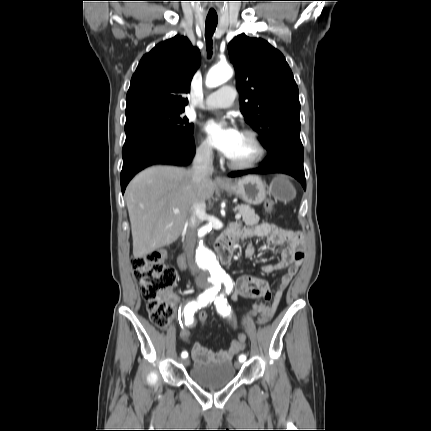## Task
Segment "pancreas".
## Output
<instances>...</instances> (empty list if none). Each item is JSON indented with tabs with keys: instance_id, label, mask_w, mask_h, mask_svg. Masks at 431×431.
<instances>
[{
	"instance_id": "1",
	"label": "pancreas",
	"mask_w": 431,
	"mask_h": 431,
	"mask_svg": "<svg viewBox=\"0 0 431 431\" xmlns=\"http://www.w3.org/2000/svg\"><path fill=\"white\" fill-rule=\"evenodd\" d=\"M238 210L241 212L242 219L246 225L253 226L259 222V216L255 214L254 209L250 206L241 204L238 206Z\"/></svg>"
}]
</instances>
